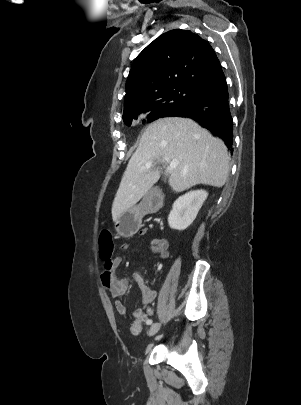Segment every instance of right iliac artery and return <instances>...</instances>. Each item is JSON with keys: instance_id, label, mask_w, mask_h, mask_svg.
Wrapping results in <instances>:
<instances>
[{"instance_id": "82829eb1", "label": "right iliac artery", "mask_w": 301, "mask_h": 405, "mask_svg": "<svg viewBox=\"0 0 301 405\" xmlns=\"http://www.w3.org/2000/svg\"><path fill=\"white\" fill-rule=\"evenodd\" d=\"M147 324H148V325L152 324V320H148V321H147Z\"/></svg>"}]
</instances>
